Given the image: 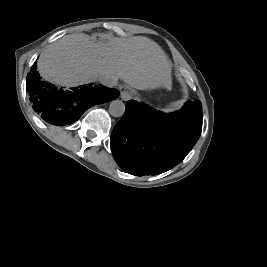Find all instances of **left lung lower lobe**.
Returning <instances> with one entry per match:
<instances>
[{
	"mask_svg": "<svg viewBox=\"0 0 267 267\" xmlns=\"http://www.w3.org/2000/svg\"><path fill=\"white\" fill-rule=\"evenodd\" d=\"M110 145L117 164L136 176L156 175L180 163L198 140L202 104L188 101L177 112L164 114L135 100L126 103Z\"/></svg>",
	"mask_w": 267,
	"mask_h": 267,
	"instance_id": "0a47b994",
	"label": "left lung lower lobe"
}]
</instances>
